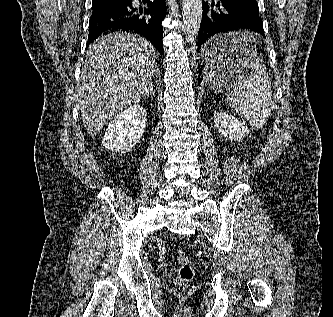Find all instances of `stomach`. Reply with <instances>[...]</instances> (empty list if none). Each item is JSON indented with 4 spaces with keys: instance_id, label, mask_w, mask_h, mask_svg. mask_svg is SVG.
I'll return each instance as SVG.
<instances>
[{
    "instance_id": "stomach-1",
    "label": "stomach",
    "mask_w": 333,
    "mask_h": 317,
    "mask_svg": "<svg viewBox=\"0 0 333 317\" xmlns=\"http://www.w3.org/2000/svg\"><path fill=\"white\" fill-rule=\"evenodd\" d=\"M250 29H223L222 33H210V40L205 41L201 49V62H211L205 69L201 88H210L221 92L236 88V82L245 81V74H255L258 69V55H255L257 41Z\"/></svg>"
}]
</instances>
